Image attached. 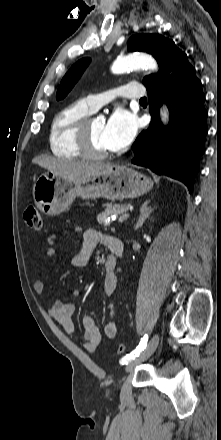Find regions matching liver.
<instances>
[{"instance_id":"obj_1","label":"liver","mask_w":221,"mask_h":440,"mask_svg":"<svg viewBox=\"0 0 221 440\" xmlns=\"http://www.w3.org/2000/svg\"><path fill=\"white\" fill-rule=\"evenodd\" d=\"M32 163L63 177L90 175L112 166L111 163L75 162L45 155L35 157Z\"/></svg>"}]
</instances>
